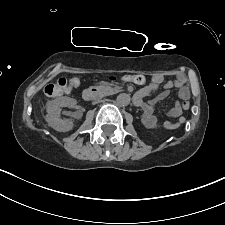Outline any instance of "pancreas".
<instances>
[{"instance_id":"obj_1","label":"pancreas","mask_w":225,"mask_h":225,"mask_svg":"<svg viewBox=\"0 0 225 225\" xmlns=\"http://www.w3.org/2000/svg\"><path fill=\"white\" fill-rule=\"evenodd\" d=\"M118 88H112L110 86H100V91L104 94V95H109L115 91H117Z\"/></svg>"}]
</instances>
